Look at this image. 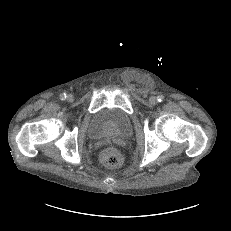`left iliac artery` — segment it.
<instances>
[{
    "mask_svg": "<svg viewBox=\"0 0 231 231\" xmlns=\"http://www.w3.org/2000/svg\"><path fill=\"white\" fill-rule=\"evenodd\" d=\"M163 100H164V96H163V95H159V96H158V101H159V102H162Z\"/></svg>",
    "mask_w": 231,
    "mask_h": 231,
    "instance_id": "1",
    "label": "left iliac artery"
}]
</instances>
